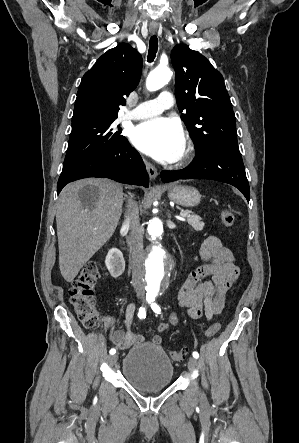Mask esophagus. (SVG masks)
<instances>
[{"instance_id":"esophagus-1","label":"esophagus","mask_w":299,"mask_h":443,"mask_svg":"<svg viewBox=\"0 0 299 443\" xmlns=\"http://www.w3.org/2000/svg\"><path fill=\"white\" fill-rule=\"evenodd\" d=\"M149 31L151 33H155V32H157V28L156 27H150ZM146 169H147V172L149 174V177L151 179H156V177L158 176V172H157V169L151 163L146 162Z\"/></svg>"}]
</instances>
